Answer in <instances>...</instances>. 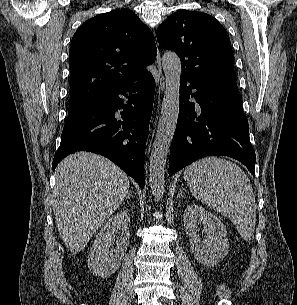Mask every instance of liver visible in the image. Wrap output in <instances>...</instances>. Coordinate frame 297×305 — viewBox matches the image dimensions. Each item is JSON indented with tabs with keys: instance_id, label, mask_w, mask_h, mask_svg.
<instances>
[{
	"instance_id": "6515ba94",
	"label": "liver",
	"mask_w": 297,
	"mask_h": 305,
	"mask_svg": "<svg viewBox=\"0 0 297 305\" xmlns=\"http://www.w3.org/2000/svg\"><path fill=\"white\" fill-rule=\"evenodd\" d=\"M129 190V178L103 156L77 152L56 168L52 208L59 234L72 254L117 210Z\"/></svg>"
}]
</instances>
